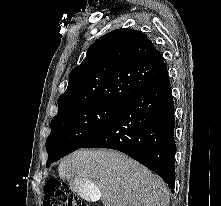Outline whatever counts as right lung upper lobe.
I'll list each match as a JSON object with an SVG mask.
<instances>
[{
    "label": "right lung upper lobe",
    "instance_id": "obj_1",
    "mask_svg": "<svg viewBox=\"0 0 221 206\" xmlns=\"http://www.w3.org/2000/svg\"><path fill=\"white\" fill-rule=\"evenodd\" d=\"M167 73L160 52L142 32L114 30L93 43L70 72L58 113L94 103L123 106Z\"/></svg>",
    "mask_w": 221,
    "mask_h": 206
}]
</instances>
